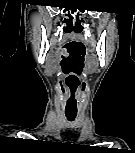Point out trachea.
<instances>
[{"label": "trachea", "mask_w": 135, "mask_h": 153, "mask_svg": "<svg viewBox=\"0 0 135 153\" xmlns=\"http://www.w3.org/2000/svg\"><path fill=\"white\" fill-rule=\"evenodd\" d=\"M65 115H66V117H67V119L69 120V121H74L75 120V118H76V115H77V113L76 112H65Z\"/></svg>", "instance_id": "trachea-1"}]
</instances>
